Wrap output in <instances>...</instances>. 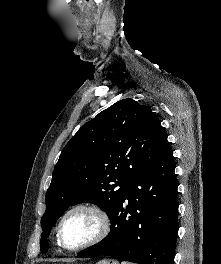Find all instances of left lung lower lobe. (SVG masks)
Wrapping results in <instances>:
<instances>
[{"mask_svg":"<svg viewBox=\"0 0 221 264\" xmlns=\"http://www.w3.org/2000/svg\"><path fill=\"white\" fill-rule=\"evenodd\" d=\"M174 170L173 151L166 141L152 164L129 183L109 216L110 233L77 257L104 255L139 264H174L178 232Z\"/></svg>","mask_w":221,"mask_h":264,"instance_id":"0a47b994","label":"left lung lower lobe"}]
</instances>
